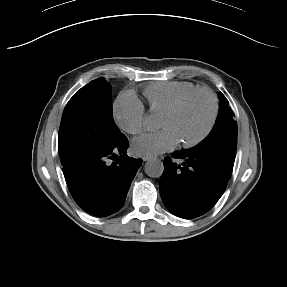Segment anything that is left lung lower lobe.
I'll use <instances>...</instances> for the list:
<instances>
[{"label": "left lung lower lobe", "mask_w": 287, "mask_h": 287, "mask_svg": "<svg viewBox=\"0 0 287 287\" xmlns=\"http://www.w3.org/2000/svg\"><path fill=\"white\" fill-rule=\"evenodd\" d=\"M173 157L183 159L184 163L177 165L170 157L164 159L159 180L164 205L184 219L205 214L223 194L230 176L199 151L174 152Z\"/></svg>", "instance_id": "obj_1"}]
</instances>
